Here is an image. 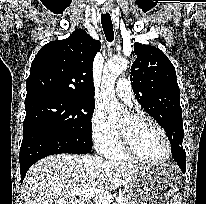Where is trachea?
<instances>
[{
  "instance_id": "trachea-1",
  "label": "trachea",
  "mask_w": 206,
  "mask_h": 204,
  "mask_svg": "<svg viewBox=\"0 0 206 204\" xmlns=\"http://www.w3.org/2000/svg\"><path fill=\"white\" fill-rule=\"evenodd\" d=\"M101 24L107 41L112 42L114 40V31L110 14L101 15Z\"/></svg>"
}]
</instances>
